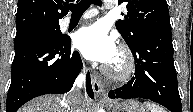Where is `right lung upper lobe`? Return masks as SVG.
<instances>
[{
	"label": "right lung upper lobe",
	"mask_w": 193,
	"mask_h": 112,
	"mask_svg": "<svg viewBox=\"0 0 193 112\" xmlns=\"http://www.w3.org/2000/svg\"><path fill=\"white\" fill-rule=\"evenodd\" d=\"M73 0H18L17 31L48 25H59L68 14V2Z\"/></svg>",
	"instance_id": "cb5924a9"
}]
</instances>
